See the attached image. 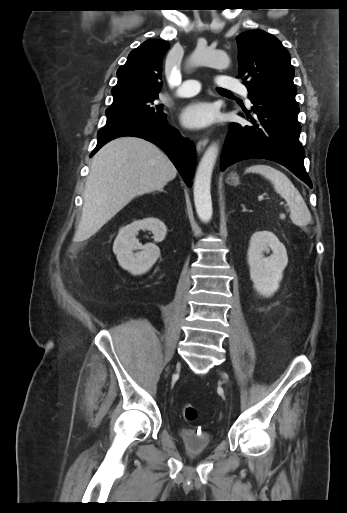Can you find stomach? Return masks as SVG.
Masks as SVG:
<instances>
[{"mask_svg": "<svg viewBox=\"0 0 347 513\" xmlns=\"http://www.w3.org/2000/svg\"><path fill=\"white\" fill-rule=\"evenodd\" d=\"M230 181L232 184H238L239 183V177L236 174H231Z\"/></svg>", "mask_w": 347, "mask_h": 513, "instance_id": "stomach-1", "label": "stomach"}]
</instances>
